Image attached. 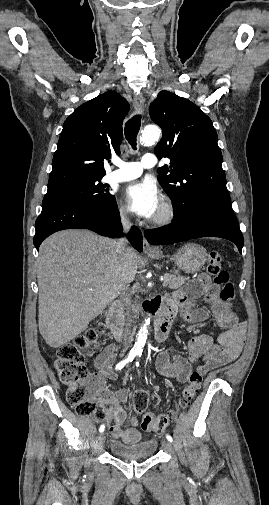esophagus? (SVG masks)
<instances>
[{
	"label": "esophagus",
	"instance_id": "obj_1",
	"mask_svg": "<svg viewBox=\"0 0 269 505\" xmlns=\"http://www.w3.org/2000/svg\"><path fill=\"white\" fill-rule=\"evenodd\" d=\"M133 106L137 113H143L145 109V100L142 95H136L133 99ZM143 251L145 253L155 252L156 248L153 247L145 237H143Z\"/></svg>",
	"mask_w": 269,
	"mask_h": 505
}]
</instances>
